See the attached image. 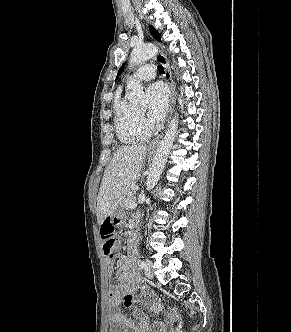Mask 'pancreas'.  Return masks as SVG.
Returning <instances> with one entry per match:
<instances>
[{"label":"pancreas","mask_w":291,"mask_h":332,"mask_svg":"<svg viewBox=\"0 0 291 332\" xmlns=\"http://www.w3.org/2000/svg\"><path fill=\"white\" fill-rule=\"evenodd\" d=\"M137 189L134 187H129L122 195V197L119 200L120 206L124 209L127 208V206L134 202L135 195H136Z\"/></svg>","instance_id":"obj_1"}]
</instances>
